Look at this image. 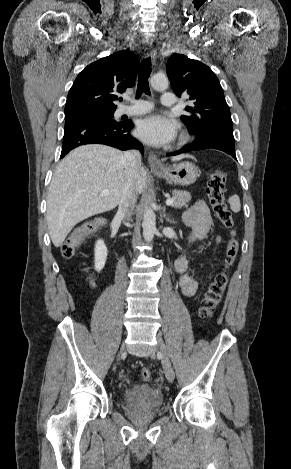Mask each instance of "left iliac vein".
Here are the masks:
<instances>
[{"label":"left iliac vein","instance_id":"left-iliac-vein-1","mask_svg":"<svg viewBox=\"0 0 291 469\" xmlns=\"http://www.w3.org/2000/svg\"><path fill=\"white\" fill-rule=\"evenodd\" d=\"M157 341L160 348L159 355L162 360L165 376L169 382H173L175 373L169 359L167 348L160 335H157Z\"/></svg>","mask_w":291,"mask_h":469}]
</instances>
